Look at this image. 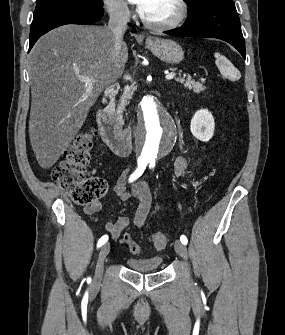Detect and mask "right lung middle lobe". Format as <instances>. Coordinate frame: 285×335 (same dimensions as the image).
I'll return each mask as SVG.
<instances>
[{
    "instance_id": "1",
    "label": "right lung middle lobe",
    "mask_w": 285,
    "mask_h": 335,
    "mask_svg": "<svg viewBox=\"0 0 285 335\" xmlns=\"http://www.w3.org/2000/svg\"><path fill=\"white\" fill-rule=\"evenodd\" d=\"M57 5H71L91 9H100L102 8L103 3L101 0H37L34 14Z\"/></svg>"
}]
</instances>
